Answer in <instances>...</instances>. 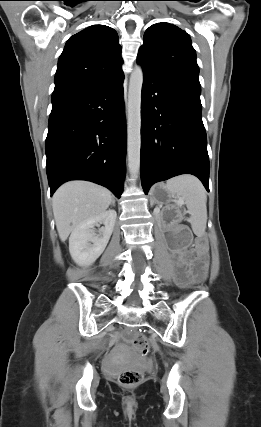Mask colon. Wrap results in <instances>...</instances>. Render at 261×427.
<instances>
[{"label":"colon","instance_id":"obj_1","mask_svg":"<svg viewBox=\"0 0 261 427\" xmlns=\"http://www.w3.org/2000/svg\"><path fill=\"white\" fill-rule=\"evenodd\" d=\"M132 344L136 351L145 356L149 352V342L143 335H136L132 338ZM143 381V373L139 370H126L118 377V382L126 388H133L141 384Z\"/></svg>","mask_w":261,"mask_h":427}]
</instances>
